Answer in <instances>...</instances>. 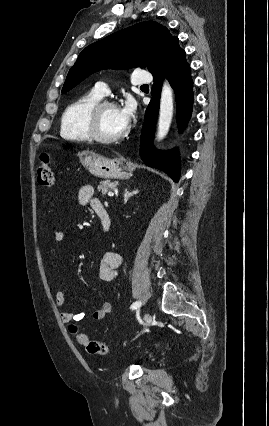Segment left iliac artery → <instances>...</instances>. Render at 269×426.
Masks as SVG:
<instances>
[{
	"mask_svg": "<svg viewBox=\"0 0 269 426\" xmlns=\"http://www.w3.org/2000/svg\"><path fill=\"white\" fill-rule=\"evenodd\" d=\"M141 306V302L140 301H136L135 303H133L131 306H130V309H136V308H139Z\"/></svg>",
	"mask_w": 269,
	"mask_h": 426,
	"instance_id": "left-iliac-artery-1",
	"label": "left iliac artery"
}]
</instances>
